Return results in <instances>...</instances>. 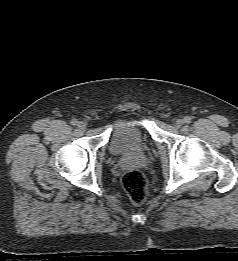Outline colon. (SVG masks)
I'll use <instances>...</instances> for the list:
<instances>
[{
	"instance_id": "colon-1",
	"label": "colon",
	"mask_w": 238,
	"mask_h": 261,
	"mask_svg": "<svg viewBox=\"0 0 238 261\" xmlns=\"http://www.w3.org/2000/svg\"><path fill=\"white\" fill-rule=\"evenodd\" d=\"M122 186L134 205H140L147 195V182L139 170H129L122 177Z\"/></svg>"
}]
</instances>
